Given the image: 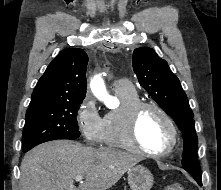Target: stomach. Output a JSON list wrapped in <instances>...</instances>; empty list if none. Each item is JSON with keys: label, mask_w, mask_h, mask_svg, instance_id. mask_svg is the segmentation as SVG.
I'll use <instances>...</instances> for the list:
<instances>
[{"label": "stomach", "mask_w": 221, "mask_h": 190, "mask_svg": "<svg viewBox=\"0 0 221 190\" xmlns=\"http://www.w3.org/2000/svg\"><path fill=\"white\" fill-rule=\"evenodd\" d=\"M153 183L152 173L142 165L132 167L128 171V184L131 190H150Z\"/></svg>", "instance_id": "0dacf381"}]
</instances>
